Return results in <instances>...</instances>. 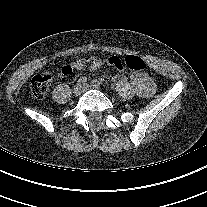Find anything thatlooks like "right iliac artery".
Masks as SVG:
<instances>
[{"mask_svg": "<svg viewBox=\"0 0 207 207\" xmlns=\"http://www.w3.org/2000/svg\"><path fill=\"white\" fill-rule=\"evenodd\" d=\"M86 82H87L86 77H80V79L78 80V84H80V85H85Z\"/></svg>", "mask_w": 207, "mask_h": 207, "instance_id": "1", "label": "right iliac artery"}]
</instances>
